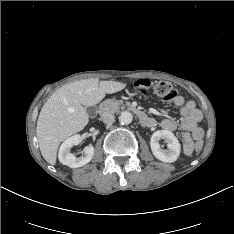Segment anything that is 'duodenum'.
Here are the masks:
<instances>
[{
    "label": "duodenum",
    "instance_id": "duodenum-1",
    "mask_svg": "<svg viewBox=\"0 0 234 234\" xmlns=\"http://www.w3.org/2000/svg\"><path fill=\"white\" fill-rule=\"evenodd\" d=\"M113 105L111 103H105L100 107V112L101 113H105L108 110H110V108ZM132 110L136 113L139 121L143 124V125H147L150 122V118L142 111L138 110L136 107H132Z\"/></svg>",
    "mask_w": 234,
    "mask_h": 234
}]
</instances>
